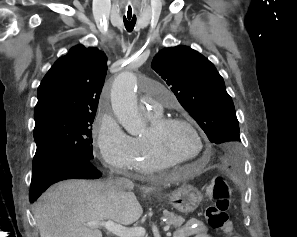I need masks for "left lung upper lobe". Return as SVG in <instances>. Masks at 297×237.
<instances>
[{"instance_id": "obj_1", "label": "left lung upper lobe", "mask_w": 297, "mask_h": 237, "mask_svg": "<svg viewBox=\"0 0 297 237\" xmlns=\"http://www.w3.org/2000/svg\"><path fill=\"white\" fill-rule=\"evenodd\" d=\"M151 67L171 87L180 104L197 121L225 161L241 155L239 122L232 98L214 65L186 47L164 48Z\"/></svg>"}]
</instances>
